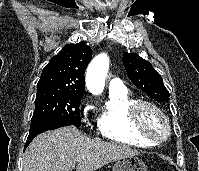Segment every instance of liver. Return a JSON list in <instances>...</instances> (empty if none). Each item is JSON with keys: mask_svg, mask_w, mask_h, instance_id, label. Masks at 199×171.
Here are the masks:
<instances>
[{"mask_svg": "<svg viewBox=\"0 0 199 171\" xmlns=\"http://www.w3.org/2000/svg\"><path fill=\"white\" fill-rule=\"evenodd\" d=\"M126 145L85 136L74 126L38 135L25 152L23 171H95L116 160L138 155Z\"/></svg>", "mask_w": 199, "mask_h": 171, "instance_id": "6515ba94", "label": "liver"}]
</instances>
